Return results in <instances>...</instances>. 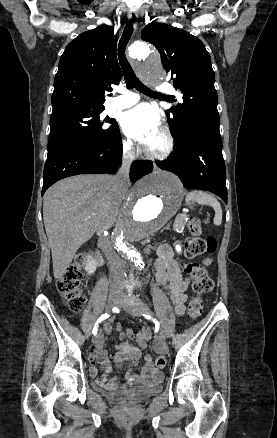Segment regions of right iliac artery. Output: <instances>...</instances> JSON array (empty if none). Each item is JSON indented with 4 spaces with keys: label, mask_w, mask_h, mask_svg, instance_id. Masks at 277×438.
I'll use <instances>...</instances> for the list:
<instances>
[{
    "label": "right iliac artery",
    "mask_w": 277,
    "mask_h": 438,
    "mask_svg": "<svg viewBox=\"0 0 277 438\" xmlns=\"http://www.w3.org/2000/svg\"><path fill=\"white\" fill-rule=\"evenodd\" d=\"M109 317L108 313L102 314L101 317L98 318V320L95 323V326L93 328V334L96 335L98 331V324L101 323L103 320L107 319Z\"/></svg>",
    "instance_id": "right-iliac-artery-1"
}]
</instances>
